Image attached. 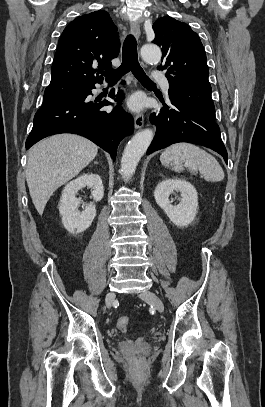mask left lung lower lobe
<instances>
[{
    "instance_id": "left-lung-lower-lobe-1",
    "label": "left lung lower lobe",
    "mask_w": 265,
    "mask_h": 407,
    "mask_svg": "<svg viewBox=\"0 0 265 407\" xmlns=\"http://www.w3.org/2000/svg\"><path fill=\"white\" fill-rule=\"evenodd\" d=\"M150 122L157 127L155 138L147 154L178 142L206 146L219 153L227 163L228 155L222 142L215 118L185 104L171 101L160 111L150 115Z\"/></svg>"
}]
</instances>
